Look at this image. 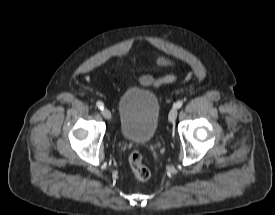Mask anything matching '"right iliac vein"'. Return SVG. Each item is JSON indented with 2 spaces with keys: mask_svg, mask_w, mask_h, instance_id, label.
<instances>
[{
  "mask_svg": "<svg viewBox=\"0 0 275 215\" xmlns=\"http://www.w3.org/2000/svg\"><path fill=\"white\" fill-rule=\"evenodd\" d=\"M102 115L105 119L107 120H110L111 119V112L107 109V108H104L102 110Z\"/></svg>",
  "mask_w": 275,
  "mask_h": 215,
  "instance_id": "63e3f726",
  "label": "right iliac vein"
}]
</instances>
